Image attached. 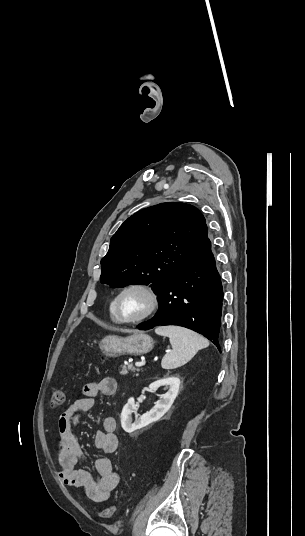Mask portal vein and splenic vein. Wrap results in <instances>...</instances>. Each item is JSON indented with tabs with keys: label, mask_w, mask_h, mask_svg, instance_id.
<instances>
[{
	"label": "portal vein and splenic vein",
	"mask_w": 305,
	"mask_h": 536,
	"mask_svg": "<svg viewBox=\"0 0 305 536\" xmlns=\"http://www.w3.org/2000/svg\"><path fill=\"white\" fill-rule=\"evenodd\" d=\"M145 362H136L135 366H137V368H140V366H144Z\"/></svg>",
	"instance_id": "obj_1"
}]
</instances>
